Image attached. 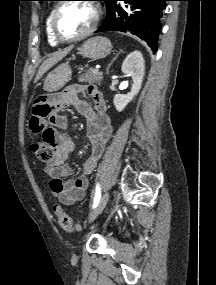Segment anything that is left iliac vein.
<instances>
[{
  "mask_svg": "<svg viewBox=\"0 0 216 285\" xmlns=\"http://www.w3.org/2000/svg\"><path fill=\"white\" fill-rule=\"evenodd\" d=\"M108 199H109V193L106 192V193L103 194V196L101 197L99 203L97 204L95 209L90 214L89 222H91L94 219H96L98 217V215L103 211V209L105 208V206H106V204L108 202Z\"/></svg>",
  "mask_w": 216,
  "mask_h": 285,
  "instance_id": "left-iliac-vein-1",
  "label": "left iliac vein"
}]
</instances>
